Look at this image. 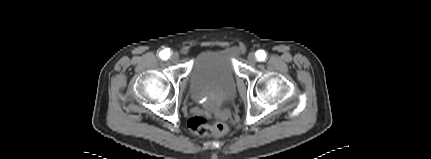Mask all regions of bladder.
Listing matches in <instances>:
<instances>
[{"instance_id": "bladder-1", "label": "bladder", "mask_w": 431, "mask_h": 159, "mask_svg": "<svg viewBox=\"0 0 431 159\" xmlns=\"http://www.w3.org/2000/svg\"><path fill=\"white\" fill-rule=\"evenodd\" d=\"M237 54L235 47L227 46L203 51L195 58L189 73V90L195 101L216 109L234 99Z\"/></svg>"}]
</instances>
